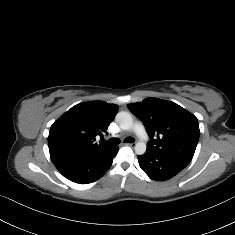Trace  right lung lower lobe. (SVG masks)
Segmentation results:
<instances>
[{
    "label": "right lung lower lobe",
    "instance_id": "98d812e1",
    "mask_svg": "<svg viewBox=\"0 0 235 235\" xmlns=\"http://www.w3.org/2000/svg\"><path fill=\"white\" fill-rule=\"evenodd\" d=\"M118 150V146H111L96 152H50V157L64 177L79 184H88L108 171Z\"/></svg>",
    "mask_w": 235,
    "mask_h": 235
}]
</instances>
